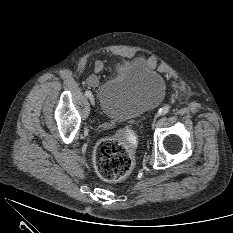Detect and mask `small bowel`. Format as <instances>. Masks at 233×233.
Listing matches in <instances>:
<instances>
[{
    "instance_id": "obj_1",
    "label": "small bowel",
    "mask_w": 233,
    "mask_h": 233,
    "mask_svg": "<svg viewBox=\"0 0 233 233\" xmlns=\"http://www.w3.org/2000/svg\"><path fill=\"white\" fill-rule=\"evenodd\" d=\"M104 66H103V63L101 61H97L95 63V72L96 73H100L102 70H103ZM87 83L88 85L94 87L97 85L98 83V77L96 75H91L88 77L87 79Z\"/></svg>"
}]
</instances>
